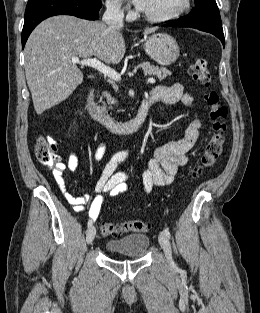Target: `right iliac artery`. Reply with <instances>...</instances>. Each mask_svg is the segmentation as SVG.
Segmentation results:
<instances>
[{
  "mask_svg": "<svg viewBox=\"0 0 260 313\" xmlns=\"http://www.w3.org/2000/svg\"><path fill=\"white\" fill-rule=\"evenodd\" d=\"M91 226H92V221L89 220V221H88V228L91 227Z\"/></svg>",
  "mask_w": 260,
  "mask_h": 313,
  "instance_id": "obj_1",
  "label": "right iliac artery"
}]
</instances>
